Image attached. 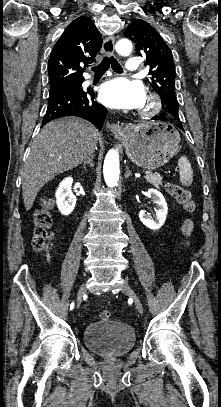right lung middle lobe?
Segmentation results:
<instances>
[{"instance_id":"dd1d6c3e","label":"right lung middle lobe","mask_w":221,"mask_h":407,"mask_svg":"<svg viewBox=\"0 0 221 407\" xmlns=\"http://www.w3.org/2000/svg\"><path fill=\"white\" fill-rule=\"evenodd\" d=\"M77 85H80V83H76V84H72V85H67V86H63V85H61V84H58V85H51L50 92H51V91H55V90L60 89V88H63V87L77 86Z\"/></svg>"}]
</instances>
